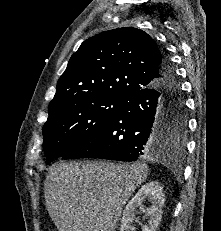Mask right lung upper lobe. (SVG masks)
Instances as JSON below:
<instances>
[{"mask_svg": "<svg viewBox=\"0 0 221 231\" xmlns=\"http://www.w3.org/2000/svg\"><path fill=\"white\" fill-rule=\"evenodd\" d=\"M163 51L144 31L123 27L85 40L70 58L49 104V116L90 96L126 99L161 79Z\"/></svg>", "mask_w": 221, "mask_h": 231, "instance_id": "1", "label": "right lung upper lobe"}]
</instances>
